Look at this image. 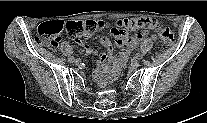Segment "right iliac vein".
<instances>
[{"label": "right iliac vein", "instance_id": "1", "mask_svg": "<svg viewBox=\"0 0 207 123\" xmlns=\"http://www.w3.org/2000/svg\"><path fill=\"white\" fill-rule=\"evenodd\" d=\"M72 62L76 65H78L80 63V61L78 59H74Z\"/></svg>", "mask_w": 207, "mask_h": 123}]
</instances>
